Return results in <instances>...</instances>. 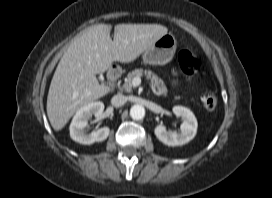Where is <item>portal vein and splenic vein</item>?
<instances>
[{
	"label": "portal vein and splenic vein",
	"instance_id": "18ae733b",
	"mask_svg": "<svg viewBox=\"0 0 272 198\" xmlns=\"http://www.w3.org/2000/svg\"><path fill=\"white\" fill-rule=\"evenodd\" d=\"M141 84V78L140 77H135L133 80H132V86L134 87H137Z\"/></svg>",
	"mask_w": 272,
	"mask_h": 198
}]
</instances>
